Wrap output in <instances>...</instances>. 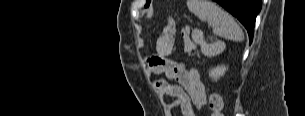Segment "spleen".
Masks as SVG:
<instances>
[{"label":"spleen","instance_id":"1","mask_svg":"<svg viewBox=\"0 0 305 116\" xmlns=\"http://www.w3.org/2000/svg\"><path fill=\"white\" fill-rule=\"evenodd\" d=\"M187 6L201 21H207L217 36L234 41L244 39L243 31L233 17L215 3L208 0H188Z\"/></svg>","mask_w":305,"mask_h":116}]
</instances>
